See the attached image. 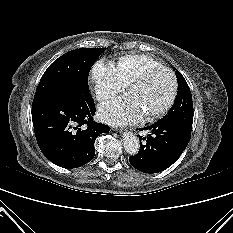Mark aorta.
Returning <instances> with one entry per match:
<instances>
[{"mask_svg":"<svg viewBox=\"0 0 233 233\" xmlns=\"http://www.w3.org/2000/svg\"><path fill=\"white\" fill-rule=\"evenodd\" d=\"M123 147L125 151L130 155L138 153L140 144L139 139L131 132L124 133L122 136Z\"/></svg>","mask_w":233,"mask_h":233,"instance_id":"762f6f07","label":"aorta"}]
</instances>
